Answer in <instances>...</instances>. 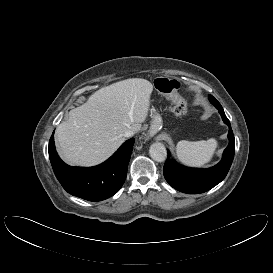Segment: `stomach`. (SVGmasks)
I'll return each instance as SVG.
<instances>
[{
    "label": "stomach",
    "mask_w": 273,
    "mask_h": 273,
    "mask_svg": "<svg viewBox=\"0 0 273 273\" xmlns=\"http://www.w3.org/2000/svg\"><path fill=\"white\" fill-rule=\"evenodd\" d=\"M154 86L157 92L164 97H172L177 93L174 81L168 77H156L154 80ZM150 113V116L152 118L151 130H160L163 123L160 114L156 111L154 107H152Z\"/></svg>",
    "instance_id": "obj_1"
}]
</instances>
